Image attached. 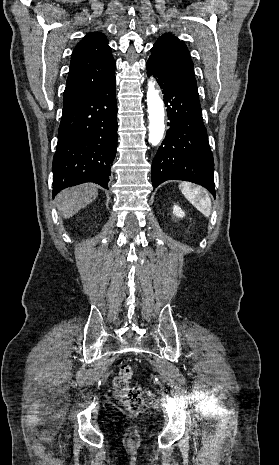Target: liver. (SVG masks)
<instances>
[{"instance_id": "liver-1", "label": "liver", "mask_w": 279, "mask_h": 465, "mask_svg": "<svg viewBox=\"0 0 279 465\" xmlns=\"http://www.w3.org/2000/svg\"><path fill=\"white\" fill-rule=\"evenodd\" d=\"M97 196V186L86 183L61 191L56 197V206L62 217L67 219L94 201Z\"/></svg>"}]
</instances>
